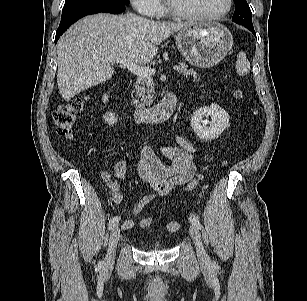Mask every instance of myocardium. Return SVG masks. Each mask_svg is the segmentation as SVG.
<instances>
[{
    "instance_id": "obj_1",
    "label": "myocardium",
    "mask_w": 307,
    "mask_h": 301,
    "mask_svg": "<svg viewBox=\"0 0 307 301\" xmlns=\"http://www.w3.org/2000/svg\"><path fill=\"white\" fill-rule=\"evenodd\" d=\"M233 3H234V0H227V6L223 11H221L219 13H215V14L203 15V14H194V13L186 12V11L180 9L179 7L171 4L167 0L166 1V10L170 15L177 17L179 19H183V20H188V21H213V20H218V19L226 16L227 14H229L230 11L232 10Z\"/></svg>"
}]
</instances>
